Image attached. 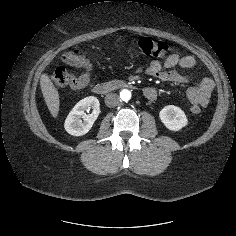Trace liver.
<instances>
[{"label":"liver","instance_id":"obj_1","mask_svg":"<svg viewBox=\"0 0 236 236\" xmlns=\"http://www.w3.org/2000/svg\"><path fill=\"white\" fill-rule=\"evenodd\" d=\"M40 87L51 115L56 118L58 116L60 106L59 93L47 74H43L41 76Z\"/></svg>","mask_w":236,"mask_h":236}]
</instances>
